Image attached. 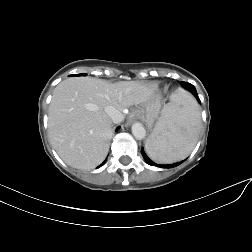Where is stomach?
Listing matches in <instances>:
<instances>
[{
    "mask_svg": "<svg viewBox=\"0 0 252 252\" xmlns=\"http://www.w3.org/2000/svg\"><path fill=\"white\" fill-rule=\"evenodd\" d=\"M139 112L145 117V120L149 126H152L155 119L158 117L160 107L156 104H151L145 107H139Z\"/></svg>",
    "mask_w": 252,
    "mask_h": 252,
    "instance_id": "0dacf381",
    "label": "stomach"
}]
</instances>
